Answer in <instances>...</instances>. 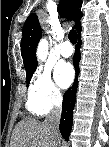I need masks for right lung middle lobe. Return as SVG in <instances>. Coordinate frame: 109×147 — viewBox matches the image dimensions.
<instances>
[{"label":"right lung middle lobe","instance_id":"obj_1","mask_svg":"<svg viewBox=\"0 0 109 147\" xmlns=\"http://www.w3.org/2000/svg\"><path fill=\"white\" fill-rule=\"evenodd\" d=\"M35 69H36V68H34V69H32V70L26 72V78H27V83H28V84H29V82H30V79H31L32 74H33V72L35 71Z\"/></svg>","mask_w":109,"mask_h":147}]
</instances>
